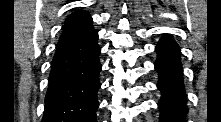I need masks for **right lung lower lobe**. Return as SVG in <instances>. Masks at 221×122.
Segmentation results:
<instances>
[{
    "instance_id": "1",
    "label": "right lung lower lobe",
    "mask_w": 221,
    "mask_h": 122,
    "mask_svg": "<svg viewBox=\"0 0 221 122\" xmlns=\"http://www.w3.org/2000/svg\"><path fill=\"white\" fill-rule=\"evenodd\" d=\"M92 20L61 36L54 54L42 122H97L100 47Z\"/></svg>"
}]
</instances>
